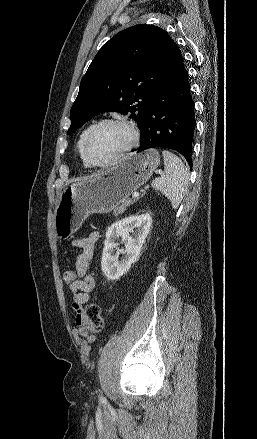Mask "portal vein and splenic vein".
Here are the masks:
<instances>
[{"instance_id":"portal-vein-and-splenic-vein-1","label":"portal vein and splenic vein","mask_w":257,"mask_h":439,"mask_svg":"<svg viewBox=\"0 0 257 439\" xmlns=\"http://www.w3.org/2000/svg\"><path fill=\"white\" fill-rule=\"evenodd\" d=\"M139 196V192H134L133 194H132V198H137Z\"/></svg>"}]
</instances>
